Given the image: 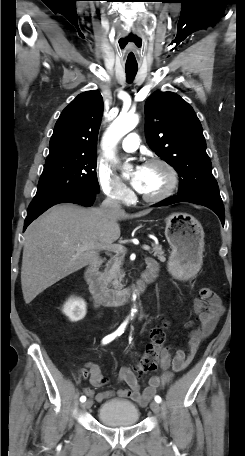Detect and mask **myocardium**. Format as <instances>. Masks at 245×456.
<instances>
[{
  "label": "myocardium",
  "instance_id": "myocardium-1",
  "mask_svg": "<svg viewBox=\"0 0 245 456\" xmlns=\"http://www.w3.org/2000/svg\"><path fill=\"white\" fill-rule=\"evenodd\" d=\"M154 165L161 166L167 171V173L169 175V183L162 192H160L156 195H146L139 191L140 197L144 201L150 202V203H156V202H160V201L167 199L175 192V190L179 184L178 171L171 163H169L168 161H166L162 158H152V159L147 160L144 164L145 167L154 166Z\"/></svg>",
  "mask_w": 245,
  "mask_h": 456
}]
</instances>
